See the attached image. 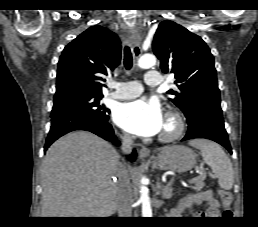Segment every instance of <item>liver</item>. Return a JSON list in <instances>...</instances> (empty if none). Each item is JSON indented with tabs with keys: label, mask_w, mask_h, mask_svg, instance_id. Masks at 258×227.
I'll return each mask as SVG.
<instances>
[{
	"label": "liver",
	"mask_w": 258,
	"mask_h": 227,
	"mask_svg": "<svg viewBox=\"0 0 258 227\" xmlns=\"http://www.w3.org/2000/svg\"><path fill=\"white\" fill-rule=\"evenodd\" d=\"M119 154L87 132H71L47 150L41 167L42 217H109L117 210Z\"/></svg>",
	"instance_id": "liver-1"
}]
</instances>
